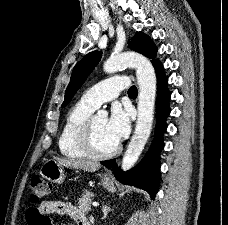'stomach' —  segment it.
Listing matches in <instances>:
<instances>
[{
    "label": "stomach",
    "instance_id": "1",
    "mask_svg": "<svg viewBox=\"0 0 228 225\" xmlns=\"http://www.w3.org/2000/svg\"><path fill=\"white\" fill-rule=\"evenodd\" d=\"M40 175H42L43 179H46V181H50V183L62 185L66 177L65 165H60L55 159H48V161H45L44 165H42ZM101 183L104 189H107L110 193H115L116 187L112 179H106L104 175V177H101Z\"/></svg>",
    "mask_w": 228,
    "mask_h": 225
}]
</instances>
